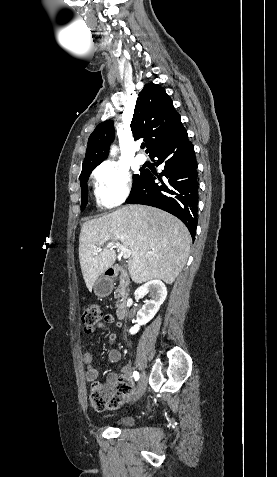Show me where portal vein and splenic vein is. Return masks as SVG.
Wrapping results in <instances>:
<instances>
[{
	"instance_id": "1",
	"label": "portal vein and splenic vein",
	"mask_w": 277,
	"mask_h": 477,
	"mask_svg": "<svg viewBox=\"0 0 277 477\" xmlns=\"http://www.w3.org/2000/svg\"><path fill=\"white\" fill-rule=\"evenodd\" d=\"M114 247H117L118 249H120L122 257L124 259L129 258L132 254L130 249L126 248L125 246H123L119 242H110V243L107 244V248H114ZM97 251L100 252V251H102V249L98 248Z\"/></svg>"
}]
</instances>
